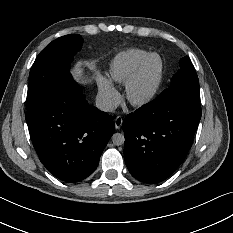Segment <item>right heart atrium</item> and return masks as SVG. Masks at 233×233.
<instances>
[{"label":"right heart atrium","instance_id":"d8ad5b80","mask_svg":"<svg viewBox=\"0 0 233 233\" xmlns=\"http://www.w3.org/2000/svg\"><path fill=\"white\" fill-rule=\"evenodd\" d=\"M97 83L98 99L103 109L106 111L115 109L121 101V95L118 90L110 81L99 73L97 74Z\"/></svg>","mask_w":233,"mask_h":233}]
</instances>
